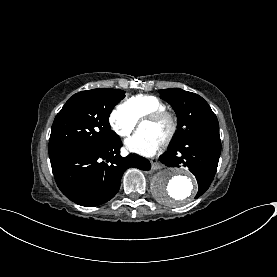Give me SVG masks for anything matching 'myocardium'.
<instances>
[{
	"mask_svg": "<svg viewBox=\"0 0 277 277\" xmlns=\"http://www.w3.org/2000/svg\"><path fill=\"white\" fill-rule=\"evenodd\" d=\"M166 121L168 123V131L166 133V135L160 139V141L163 144H166L168 142H170L172 140V138L174 137L177 128H178V122L177 119L175 118V116L166 111V110H152L149 111L141 120H140V124L146 121Z\"/></svg>",
	"mask_w": 277,
	"mask_h": 277,
	"instance_id": "obj_1",
	"label": "myocardium"
}]
</instances>
